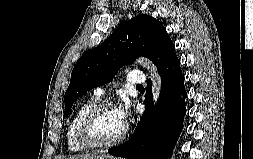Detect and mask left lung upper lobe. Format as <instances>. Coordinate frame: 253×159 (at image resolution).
I'll return each mask as SVG.
<instances>
[{"label":"left lung upper lobe","instance_id":"1","mask_svg":"<svg viewBox=\"0 0 253 159\" xmlns=\"http://www.w3.org/2000/svg\"><path fill=\"white\" fill-rule=\"evenodd\" d=\"M175 45L155 18L142 15L121 23L98 47L85 52L75 64L65 93L64 117L88 90L110 82L117 71L145 56L160 68L175 54Z\"/></svg>","mask_w":253,"mask_h":159}]
</instances>
